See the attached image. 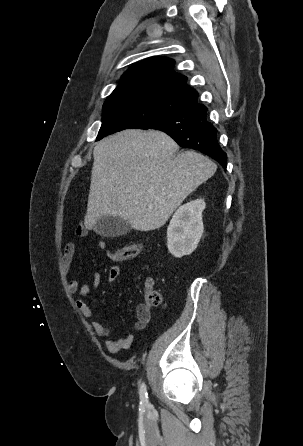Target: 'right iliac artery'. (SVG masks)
I'll list each match as a JSON object with an SVG mask.
<instances>
[{
	"label": "right iliac artery",
	"mask_w": 303,
	"mask_h": 446,
	"mask_svg": "<svg viewBox=\"0 0 303 446\" xmlns=\"http://www.w3.org/2000/svg\"><path fill=\"white\" fill-rule=\"evenodd\" d=\"M139 394H140L141 404H147L148 403V395H147V390H146V386L144 383H142L140 386Z\"/></svg>",
	"instance_id": "right-iliac-artery-1"
}]
</instances>
